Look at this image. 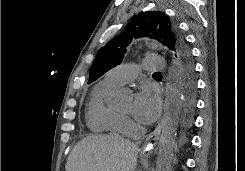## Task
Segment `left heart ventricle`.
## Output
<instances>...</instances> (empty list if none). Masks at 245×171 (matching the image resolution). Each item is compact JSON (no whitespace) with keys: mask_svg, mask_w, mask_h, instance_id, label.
Listing matches in <instances>:
<instances>
[{"mask_svg":"<svg viewBox=\"0 0 245 171\" xmlns=\"http://www.w3.org/2000/svg\"><path fill=\"white\" fill-rule=\"evenodd\" d=\"M132 108V99L128 102L127 106H126V112L130 111Z\"/></svg>","mask_w":245,"mask_h":171,"instance_id":"b2bd125f","label":"left heart ventricle"}]
</instances>
